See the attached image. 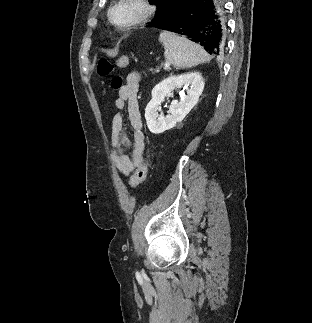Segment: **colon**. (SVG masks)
<instances>
[{
  "label": "colon",
  "instance_id": "5ec220e1",
  "mask_svg": "<svg viewBox=\"0 0 312 323\" xmlns=\"http://www.w3.org/2000/svg\"><path fill=\"white\" fill-rule=\"evenodd\" d=\"M128 64H129V60L126 55H121L116 60V65L118 67L125 68L128 66ZM112 69H113V64L110 61L103 60L99 64L98 72L103 75H106L109 72H111ZM122 83H123L122 78L120 76H116L111 81V87L113 90H118L119 88H121ZM150 166H151V161L147 160L136 170L132 178L133 185H138L146 179ZM129 189H132V186H129Z\"/></svg>",
  "mask_w": 312,
  "mask_h": 323
}]
</instances>
